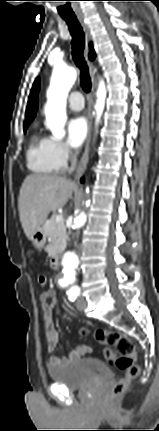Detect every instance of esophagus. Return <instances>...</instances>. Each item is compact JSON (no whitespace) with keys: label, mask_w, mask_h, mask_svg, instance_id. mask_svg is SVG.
Here are the masks:
<instances>
[{"label":"esophagus","mask_w":159,"mask_h":431,"mask_svg":"<svg viewBox=\"0 0 159 431\" xmlns=\"http://www.w3.org/2000/svg\"><path fill=\"white\" fill-rule=\"evenodd\" d=\"M78 20H79V23L81 24L83 31H84V34H85L86 46H85V50H84V55H85V58L87 60L88 66H89L92 88H91V93H90V97H89V104H88V136H87V140H86L84 153L80 159L78 168H77L76 173H75V179H78L83 174V172L86 169L87 163H88L89 151H90V138H91V133H92V113H93L92 112V105H93L96 86H97V82H96L97 69L94 65V62L88 58L89 42L91 40L90 30H89V27L85 23L84 18L82 16L78 17Z\"/></svg>","instance_id":"esophagus-1"}]
</instances>
